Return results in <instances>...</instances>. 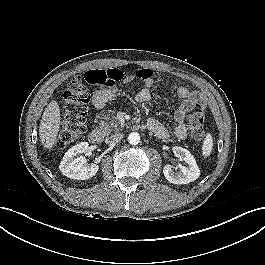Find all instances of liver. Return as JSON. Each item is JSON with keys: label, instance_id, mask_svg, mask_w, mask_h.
I'll list each match as a JSON object with an SVG mask.
<instances>
[{"label": "liver", "instance_id": "1", "mask_svg": "<svg viewBox=\"0 0 265 265\" xmlns=\"http://www.w3.org/2000/svg\"><path fill=\"white\" fill-rule=\"evenodd\" d=\"M60 120L59 105L55 100H52L42 115L39 128L41 143L45 149H52L56 143Z\"/></svg>", "mask_w": 265, "mask_h": 265}]
</instances>
